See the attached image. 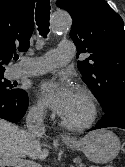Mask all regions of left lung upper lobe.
Masks as SVG:
<instances>
[{
    "label": "left lung upper lobe",
    "mask_w": 125,
    "mask_h": 167,
    "mask_svg": "<svg viewBox=\"0 0 125 167\" xmlns=\"http://www.w3.org/2000/svg\"><path fill=\"white\" fill-rule=\"evenodd\" d=\"M56 4L73 19L70 37L77 57L89 53L78 61V69L102 109L125 101V31L120 15L105 0H58Z\"/></svg>",
    "instance_id": "1"
}]
</instances>
